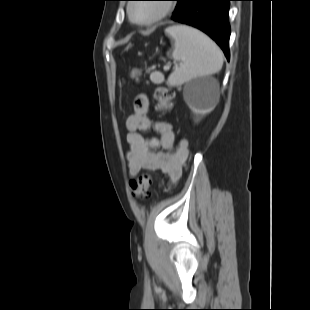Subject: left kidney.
Masks as SVG:
<instances>
[{
  "instance_id": "obj_1",
  "label": "left kidney",
  "mask_w": 310,
  "mask_h": 310,
  "mask_svg": "<svg viewBox=\"0 0 310 310\" xmlns=\"http://www.w3.org/2000/svg\"><path fill=\"white\" fill-rule=\"evenodd\" d=\"M191 109H192V111L195 114H202V115H204V114H206L208 112L207 110H201V109H199V108H197L195 106H191Z\"/></svg>"
}]
</instances>
